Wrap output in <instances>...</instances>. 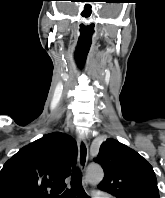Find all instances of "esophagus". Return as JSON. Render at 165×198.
I'll list each match as a JSON object with an SVG mask.
<instances>
[{"label": "esophagus", "instance_id": "esophagus-1", "mask_svg": "<svg viewBox=\"0 0 165 198\" xmlns=\"http://www.w3.org/2000/svg\"><path fill=\"white\" fill-rule=\"evenodd\" d=\"M78 166L81 172H84L88 162V144L83 136H78Z\"/></svg>", "mask_w": 165, "mask_h": 198}]
</instances>
